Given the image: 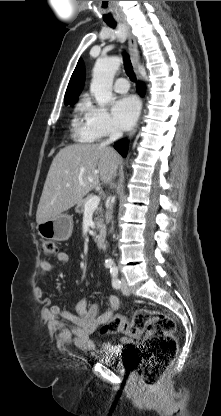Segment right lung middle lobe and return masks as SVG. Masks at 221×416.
Wrapping results in <instances>:
<instances>
[{"label": "right lung middle lobe", "mask_w": 221, "mask_h": 416, "mask_svg": "<svg viewBox=\"0 0 221 416\" xmlns=\"http://www.w3.org/2000/svg\"><path fill=\"white\" fill-rule=\"evenodd\" d=\"M75 104V102H66L65 103V105H70V106H72V105H74Z\"/></svg>", "instance_id": "1"}]
</instances>
